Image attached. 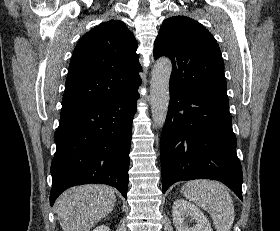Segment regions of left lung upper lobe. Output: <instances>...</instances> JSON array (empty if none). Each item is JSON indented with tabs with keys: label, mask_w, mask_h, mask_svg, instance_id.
I'll list each match as a JSON object with an SVG mask.
<instances>
[{
	"label": "left lung upper lobe",
	"mask_w": 280,
	"mask_h": 231,
	"mask_svg": "<svg viewBox=\"0 0 280 231\" xmlns=\"http://www.w3.org/2000/svg\"><path fill=\"white\" fill-rule=\"evenodd\" d=\"M160 56L172 61L171 87L228 98L219 46L197 21L186 16L164 20L154 45V58Z\"/></svg>",
	"instance_id": "obj_1"
}]
</instances>
